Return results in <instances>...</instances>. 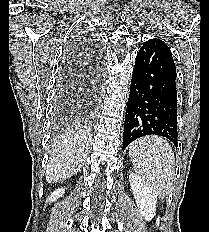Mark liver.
<instances>
[{
	"instance_id": "liver-1",
	"label": "liver",
	"mask_w": 209,
	"mask_h": 232,
	"mask_svg": "<svg viewBox=\"0 0 209 232\" xmlns=\"http://www.w3.org/2000/svg\"><path fill=\"white\" fill-rule=\"evenodd\" d=\"M89 139L83 130L63 133L54 146L46 168V181L57 183L76 174L89 153Z\"/></svg>"
}]
</instances>
